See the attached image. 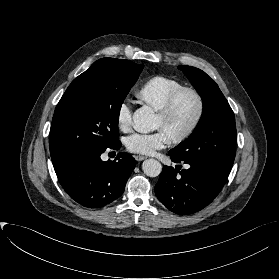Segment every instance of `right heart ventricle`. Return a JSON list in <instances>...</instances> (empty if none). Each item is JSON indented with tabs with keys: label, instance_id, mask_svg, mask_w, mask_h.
Returning <instances> with one entry per match:
<instances>
[{
	"label": "right heart ventricle",
	"instance_id": "e07e8e85",
	"mask_svg": "<svg viewBox=\"0 0 279 279\" xmlns=\"http://www.w3.org/2000/svg\"><path fill=\"white\" fill-rule=\"evenodd\" d=\"M181 87L183 84L179 81L168 76L157 75L143 83L137 96L143 103L159 111L170 94Z\"/></svg>",
	"mask_w": 279,
	"mask_h": 279
}]
</instances>
